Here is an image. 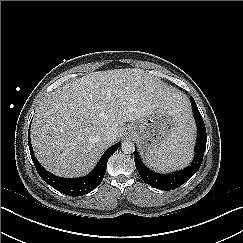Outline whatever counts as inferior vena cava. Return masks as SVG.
<instances>
[{"label":"inferior vena cava","mask_w":243,"mask_h":243,"mask_svg":"<svg viewBox=\"0 0 243 243\" xmlns=\"http://www.w3.org/2000/svg\"><path fill=\"white\" fill-rule=\"evenodd\" d=\"M115 134H114V131L113 130H108L107 132H105V134L103 135V138L105 140H112L114 138Z\"/></svg>","instance_id":"602c4592"}]
</instances>
